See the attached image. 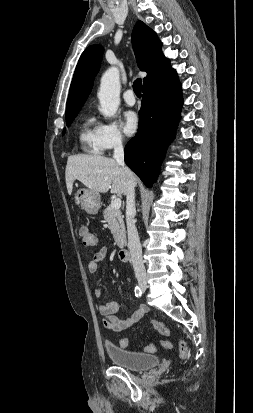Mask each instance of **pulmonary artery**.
Wrapping results in <instances>:
<instances>
[{"instance_id": "1", "label": "pulmonary artery", "mask_w": 253, "mask_h": 413, "mask_svg": "<svg viewBox=\"0 0 253 413\" xmlns=\"http://www.w3.org/2000/svg\"><path fill=\"white\" fill-rule=\"evenodd\" d=\"M124 101L127 105L133 106L136 102L133 90L128 89L123 94Z\"/></svg>"}]
</instances>
